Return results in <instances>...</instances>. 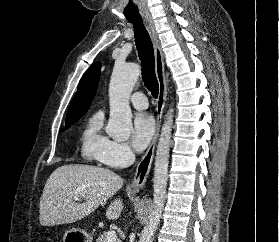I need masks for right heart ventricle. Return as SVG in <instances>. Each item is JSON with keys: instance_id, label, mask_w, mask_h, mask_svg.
I'll return each mask as SVG.
<instances>
[{"instance_id": "right-heart-ventricle-1", "label": "right heart ventricle", "mask_w": 279, "mask_h": 242, "mask_svg": "<svg viewBox=\"0 0 279 242\" xmlns=\"http://www.w3.org/2000/svg\"><path fill=\"white\" fill-rule=\"evenodd\" d=\"M104 116L94 113L86 122L80 137L81 154L86 160H98L108 148L111 139L103 132Z\"/></svg>"}]
</instances>
